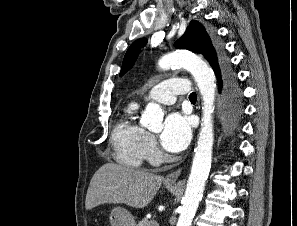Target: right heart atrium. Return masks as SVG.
Returning a JSON list of instances; mask_svg holds the SVG:
<instances>
[{
	"label": "right heart atrium",
	"mask_w": 297,
	"mask_h": 226,
	"mask_svg": "<svg viewBox=\"0 0 297 226\" xmlns=\"http://www.w3.org/2000/svg\"><path fill=\"white\" fill-rule=\"evenodd\" d=\"M159 157V150L155 138L148 135L145 144V158L150 161H156Z\"/></svg>",
	"instance_id": "1"
}]
</instances>
